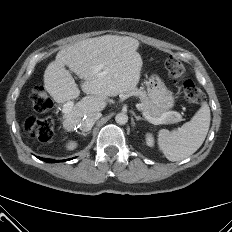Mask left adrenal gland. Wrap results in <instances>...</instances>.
<instances>
[{"label":"left adrenal gland","mask_w":232,"mask_h":232,"mask_svg":"<svg viewBox=\"0 0 232 232\" xmlns=\"http://www.w3.org/2000/svg\"><path fill=\"white\" fill-rule=\"evenodd\" d=\"M134 117H135V119H136V121H145V119L144 118H142V117H140V116H137L136 114H134Z\"/></svg>","instance_id":"obj_1"}]
</instances>
